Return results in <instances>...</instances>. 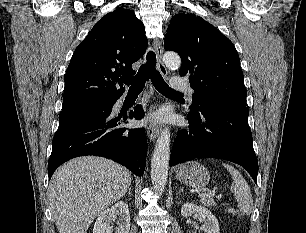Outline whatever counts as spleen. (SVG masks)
I'll list each match as a JSON object with an SVG mask.
<instances>
[{"label":"spleen","instance_id":"spleen-1","mask_svg":"<svg viewBox=\"0 0 306 233\" xmlns=\"http://www.w3.org/2000/svg\"><path fill=\"white\" fill-rule=\"evenodd\" d=\"M232 176L233 182L230 187L238 202V208H228V212L238 215H249L252 212L253 198L251 190L241 173L229 164H223Z\"/></svg>","mask_w":306,"mask_h":233}]
</instances>
